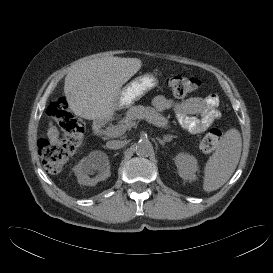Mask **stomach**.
Segmentation results:
<instances>
[{
	"instance_id": "obj_1",
	"label": "stomach",
	"mask_w": 273,
	"mask_h": 273,
	"mask_svg": "<svg viewBox=\"0 0 273 273\" xmlns=\"http://www.w3.org/2000/svg\"><path fill=\"white\" fill-rule=\"evenodd\" d=\"M157 84L158 79L151 73L136 77L120 90L117 99L118 107L125 108L133 105Z\"/></svg>"
}]
</instances>
